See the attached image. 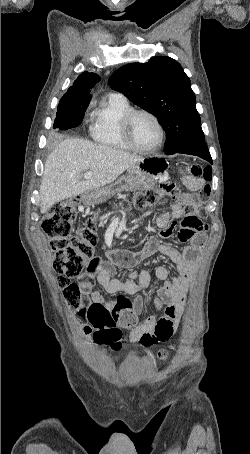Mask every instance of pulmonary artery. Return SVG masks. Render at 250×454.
I'll return each mask as SVG.
<instances>
[{
    "mask_svg": "<svg viewBox=\"0 0 250 454\" xmlns=\"http://www.w3.org/2000/svg\"><path fill=\"white\" fill-rule=\"evenodd\" d=\"M113 96H116V97H119V98H123V99H126L122 94L120 93H116V94H112Z\"/></svg>",
    "mask_w": 250,
    "mask_h": 454,
    "instance_id": "e3ab8cb5",
    "label": "pulmonary artery"
}]
</instances>
